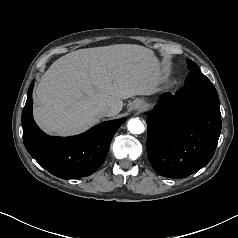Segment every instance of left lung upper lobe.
Segmentation results:
<instances>
[{"instance_id": "1", "label": "left lung upper lobe", "mask_w": 238, "mask_h": 238, "mask_svg": "<svg viewBox=\"0 0 238 238\" xmlns=\"http://www.w3.org/2000/svg\"><path fill=\"white\" fill-rule=\"evenodd\" d=\"M187 67L190 73L185 81L186 92H198L212 96H218L216 89L211 81L200 71L195 62L187 59Z\"/></svg>"}]
</instances>
